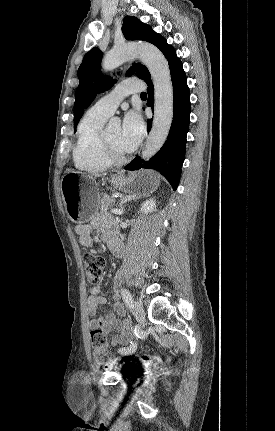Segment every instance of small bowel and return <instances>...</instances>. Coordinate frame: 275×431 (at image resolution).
<instances>
[{
    "label": "small bowel",
    "mask_w": 275,
    "mask_h": 431,
    "mask_svg": "<svg viewBox=\"0 0 275 431\" xmlns=\"http://www.w3.org/2000/svg\"><path fill=\"white\" fill-rule=\"evenodd\" d=\"M94 228L101 231V236L104 242L107 243L110 250L117 256L123 252V245L114 235L110 224L101 218L92 221L91 224H82L76 226V233L79 235V242L83 246L92 244L91 233ZM106 304V299L100 294V288L94 287L88 297V314L93 318L89 321L90 329H101L105 333L111 335V344L124 345L131 340L130 323L127 320H121L120 317L124 314V309L121 304L114 305L113 312L107 314H99L94 317L99 310Z\"/></svg>",
    "instance_id": "c3829d8e"
}]
</instances>
